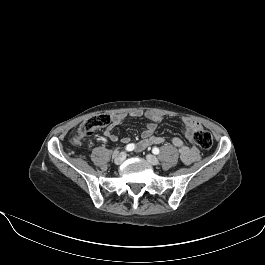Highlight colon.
<instances>
[{
  "instance_id": "1",
  "label": "colon",
  "mask_w": 265,
  "mask_h": 265,
  "mask_svg": "<svg viewBox=\"0 0 265 265\" xmlns=\"http://www.w3.org/2000/svg\"><path fill=\"white\" fill-rule=\"evenodd\" d=\"M110 121L111 117L107 114L95 115L81 125L79 134L81 137H90L96 130L108 125ZM194 140L202 149H210L213 145L212 135L207 130H197Z\"/></svg>"
}]
</instances>
